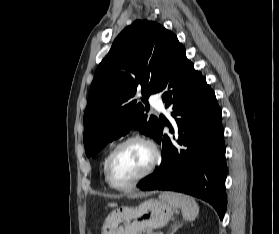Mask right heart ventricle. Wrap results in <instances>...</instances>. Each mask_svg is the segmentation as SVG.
<instances>
[{
	"label": "right heart ventricle",
	"instance_id": "1",
	"mask_svg": "<svg viewBox=\"0 0 279 234\" xmlns=\"http://www.w3.org/2000/svg\"><path fill=\"white\" fill-rule=\"evenodd\" d=\"M106 160H107V157H106V158L104 159V161H103V171H104V168H105Z\"/></svg>",
	"mask_w": 279,
	"mask_h": 234
}]
</instances>
